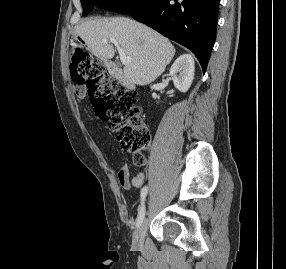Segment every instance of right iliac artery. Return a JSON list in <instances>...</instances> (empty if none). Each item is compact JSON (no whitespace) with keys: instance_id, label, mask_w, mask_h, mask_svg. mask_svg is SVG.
I'll return each instance as SVG.
<instances>
[{"instance_id":"1","label":"right iliac artery","mask_w":286,"mask_h":269,"mask_svg":"<svg viewBox=\"0 0 286 269\" xmlns=\"http://www.w3.org/2000/svg\"><path fill=\"white\" fill-rule=\"evenodd\" d=\"M147 192H148V187L147 186H144L141 190V207H140V210H139V214H138V217H137V223H136V227H139L143 220H144V217H145V198H146V195H147Z\"/></svg>"}]
</instances>
